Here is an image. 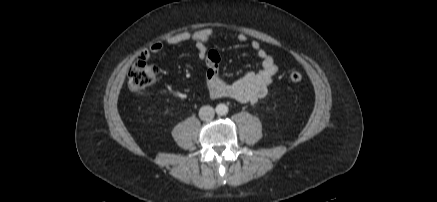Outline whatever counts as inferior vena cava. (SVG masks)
<instances>
[{
  "instance_id": "inferior-vena-cava-1",
  "label": "inferior vena cava",
  "mask_w": 437,
  "mask_h": 202,
  "mask_svg": "<svg viewBox=\"0 0 437 202\" xmlns=\"http://www.w3.org/2000/svg\"><path fill=\"white\" fill-rule=\"evenodd\" d=\"M215 111L211 106H203L199 110V117L203 121H210L214 118Z\"/></svg>"
}]
</instances>
